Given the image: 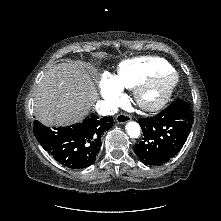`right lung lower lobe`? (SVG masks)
<instances>
[{
  "label": "right lung lower lobe",
  "instance_id": "1",
  "mask_svg": "<svg viewBox=\"0 0 221 221\" xmlns=\"http://www.w3.org/2000/svg\"><path fill=\"white\" fill-rule=\"evenodd\" d=\"M113 125L112 117H87L82 123L50 129L34 121L38 142L63 166L82 169L90 166L101 147L103 133Z\"/></svg>",
  "mask_w": 221,
  "mask_h": 221
}]
</instances>
